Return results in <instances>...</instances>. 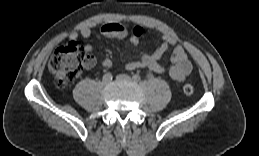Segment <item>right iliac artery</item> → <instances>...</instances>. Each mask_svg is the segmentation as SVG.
<instances>
[{
    "instance_id": "82829eb1",
    "label": "right iliac artery",
    "mask_w": 259,
    "mask_h": 156,
    "mask_svg": "<svg viewBox=\"0 0 259 156\" xmlns=\"http://www.w3.org/2000/svg\"><path fill=\"white\" fill-rule=\"evenodd\" d=\"M103 79H105V80H112V74L110 72L104 74Z\"/></svg>"
}]
</instances>
